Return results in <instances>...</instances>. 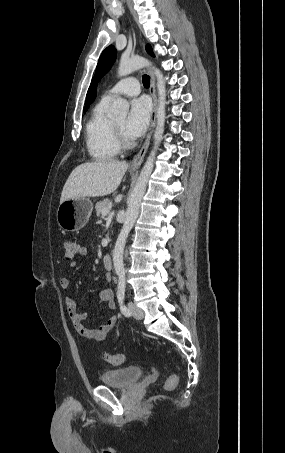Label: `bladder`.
Returning <instances> with one entry per match:
<instances>
[{"mask_svg":"<svg viewBox=\"0 0 285 453\" xmlns=\"http://www.w3.org/2000/svg\"><path fill=\"white\" fill-rule=\"evenodd\" d=\"M144 375L140 366H128L118 369L104 370L100 373V381L103 385L115 388H127L135 384Z\"/></svg>","mask_w":285,"mask_h":453,"instance_id":"31cf9c89","label":"bladder"}]
</instances>
